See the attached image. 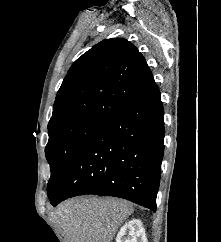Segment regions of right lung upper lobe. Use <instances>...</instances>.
<instances>
[{"instance_id": "1", "label": "right lung upper lobe", "mask_w": 221, "mask_h": 242, "mask_svg": "<svg viewBox=\"0 0 221 242\" xmlns=\"http://www.w3.org/2000/svg\"><path fill=\"white\" fill-rule=\"evenodd\" d=\"M155 84L128 40L101 41L70 67L57 92L48 130L83 119L105 120Z\"/></svg>"}]
</instances>
